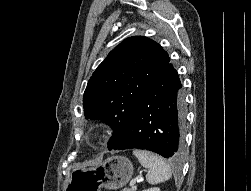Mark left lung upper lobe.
<instances>
[{"mask_svg":"<svg viewBox=\"0 0 251 191\" xmlns=\"http://www.w3.org/2000/svg\"><path fill=\"white\" fill-rule=\"evenodd\" d=\"M169 62L158 43L134 36L115 47L93 73L83 97L85 119L102 120L112 127L109 150Z\"/></svg>","mask_w":251,"mask_h":191,"instance_id":"1","label":"left lung upper lobe"}]
</instances>
